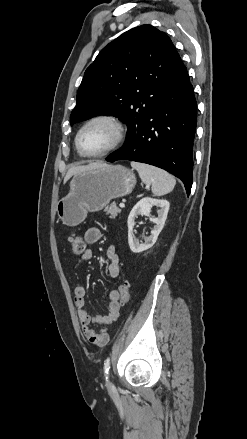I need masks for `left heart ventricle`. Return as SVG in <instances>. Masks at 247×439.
I'll return each mask as SVG.
<instances>
[{"label": "left heart ventricle", "instance_id": "left-heart-ventricle-1", "mask_svg": "<svg viewBox=\"0 0 247 439\" xmlns=\"http://www.w3.org/2000/svg\"><path fill=\"white\" fill-rule=\"evenodd\" d=\"M115 138L113 127L106 122H95L88 126L80 137V147L84 153L100 152L110 146Z\"/></svg>", "mask_w": 247, "mask_h": 439}]
</instances>
